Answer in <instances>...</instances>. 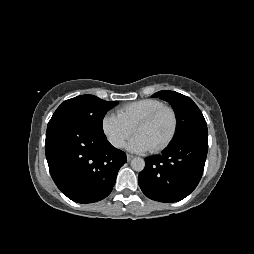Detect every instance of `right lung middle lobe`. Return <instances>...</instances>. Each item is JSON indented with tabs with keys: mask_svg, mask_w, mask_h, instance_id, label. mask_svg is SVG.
I'll list each match as a JSON object with an SVG mask.
<instances>
[{
	"mask_svg": "<svg viewBox=\"0 0 254 254\" xmlns=\"http://www.w3.org/2000/svg\"><path fill=\"white\" fill-rule=\"evenodd\" d=\"M117 104V101H105L93 95L77 96L64 101L49 122L69 119L103 131L102 122L105 114Z\"/></svg>",
	"mask_w": 254,
	"mask_h": 254,
	"instance_id": "1",
	"label": "right lung middle lobe"
}]
</instances>
